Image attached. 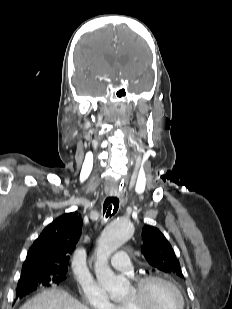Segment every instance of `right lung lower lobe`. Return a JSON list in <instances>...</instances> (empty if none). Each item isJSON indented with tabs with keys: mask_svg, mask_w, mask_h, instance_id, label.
Returning a JSON list of instances; mask_svg holds the SVG:
<instances>
[{
	"mask_svg": "<svg viewBox=\"0 0 232 309\" xmlns=\"http://www.w3.org/2000/svg\"><path fill=\"white\" fill-rule=\"evenodd\" d=\"M37 287H33V286H21L20 288H17V297H24L27 294L33 292L34 290H36Z\"/></svg>",
	"mask_w": 232,
	"mask_h": 309,
	"instance_id": "right-lung-lower-lobe-1",
	"label": "right lung lower lobe"
}]
</instances>
